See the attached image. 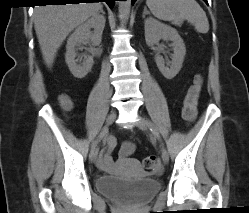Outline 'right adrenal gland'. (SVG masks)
<instances>
[{
  "label": "right adrenal gland",
  "mask_w": 249,
  "mask_h": 213,
  "mask_svg": "<svg viewBox=\"0 0 249 213\" xmlns=\"http://www.w3.org/2000/svg\"><path fill=\"white\" fill-rule=\"evenodd\" d=\"M100 12H101L103 15H105V12L103 11V9H102V8H101Z\"/></svg>",
  "instance_id": "2a0ac1e0"
}]
</instances>
